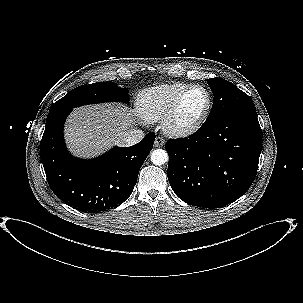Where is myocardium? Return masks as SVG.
I'll return each instance as SVG.
<instances>
[{"label":"myocardium","mask_w":303,"mask_h":303,"mask_svg":"<svg viewBox=\"0 0 303 303\" xmlns=\"http://www.w3.org/2000/svg\"><path fill=\"white\" fill-rule=\"evenodd\" d=\"M199 88L204 91L206 95V105L203 112L192 122L187 124H181L178 121V115L182 104L187 95L193 90ZM212 106L211 94L208 89L200 84H192L188 86L175 100L171 108L162 118V128L164 132L173 137H187L195 133L206 121L210 114Z\"/></svg>","instance_id":"f54148a6"}]
</instances>
